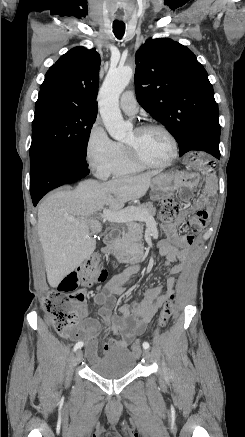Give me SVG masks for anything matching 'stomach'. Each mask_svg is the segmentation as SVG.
Instances as JSON below:
<instances>
[{
  "instance_id": "obj_1",
  "label": "stomach",
  "mask_w": 245,
  "mask_h": 437,
  "mask_svg": "<svg viewBox=\"0 0 245 437\" xmlns=\"http://www.w3.org/2000/svg\"><path fill=\"white\" fill-rule=\"evenodd\" d=\"M190 175L186 172H165L156 174L151 181L150 198L152 201H161L175 189L187 186Z\"/></svg>"
}]
</instances>
